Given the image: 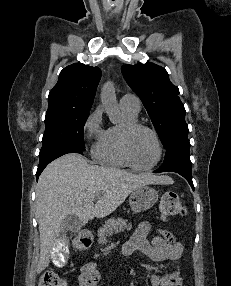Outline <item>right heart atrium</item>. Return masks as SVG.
Here are the masks:
<instances>
[{"label":"right heart atrium","mask_w":231,"mask_h":286,"mask_svg":"<svg viewBox=\"0 0 231 286\" xmlns=\"http://www.w3.org/2000/svg\"><path fill=\"white\" fill-rule=\"evenodd\" d=\"M102 120V109L100 107H97L90 113L84 123V138L86 141L93 143L94 148L102 138L105 131L102 127Z\"/></svg>","instance_id":"1"}]
</instances>
